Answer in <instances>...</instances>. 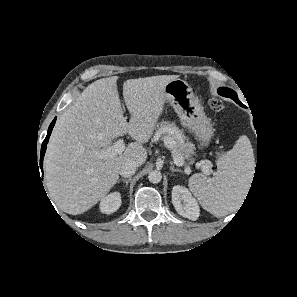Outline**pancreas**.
I'll use <instances>...</instances> for the list:
<instances>
[{
    "label": "pancreas",
    "instance_id": "1",
    "mask_svg": "<svg viewBox=\"0 0 297 297\" xmlns=\"http://www.w3.org/2000/svg\"><path fill=\"white\" fill-rule=\"evenodd\" d=\"M163 134V139L172 142V154L174 157L190 158L194 154L195 146L188 141L183 131L170 121H161L158 125L157 134ZM157 134L155 140H157Z\"/></svg>",
    "mask_w": 297,
    "mask_h": 297
}]
</instances>
